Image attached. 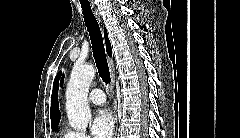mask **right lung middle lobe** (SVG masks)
Wrapping results in <instances>:
<instances>
[{
    "label": "right lung middle lobe",
    "mask_w": 240,
    "mask_h": 138,
    "mask_svg": "<svg viewBox=\"0 0 240 138\" xmlns=\"http://www.w3.org/2000/svg\"><path fill=\"white\" fill-rule=\"evenodd\" d=\"M58 125L52 126V130H56Z\"/></svg>",
    "instance_id": "1"
}]
</instances>
